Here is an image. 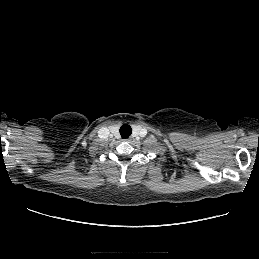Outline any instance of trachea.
Returning <instances> with one entry per match:
<instances>
[{
    "label": "trachea",
    "instance_id": "3493384b",
    "mask_svg": "<svg viewBox=\"0 0 259 259\" xmlns=\"http://www.w3.org/2000/svg\"><path fill=\"white\" fill-rule=\"evenodd\" d=\"M132 133V129L128 124H124L120 127V134L122 138H128Z\"/></svg>",
    "mask_w": 259,
    "mask_h": 259
}]
</instances>
